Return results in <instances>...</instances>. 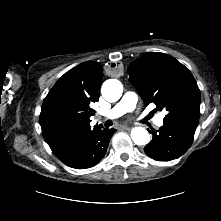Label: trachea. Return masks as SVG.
Listing matches in <instances>:
<instances>
[{
  "label": "trachea",
  "instance_id": "trachea-1",
  "mask_svg": "<svg viewBox=\"0 0 221 221\" xmlns=\"http://www.w3.org/2000/svg\"><path fill=\"white\" fill-rule=\"evenodd\" d=\"M151 116H152V113H150L147 118L149 119ZM106 125H107V126L112 125L111 121H107V122H106Z\"/></svg>",
  "mask_w": 221,
  "mask_h": 221
}]
</instances>
